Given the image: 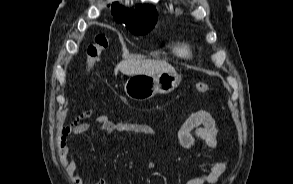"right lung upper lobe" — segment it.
Returning <instances> with one entry per match:
<instances>
[{
    "label": "right lung upper lobe",
    "mask_w": 293,
    "mask_h": 184,
    "mask_svg": "<svg viewBox=\"0 0 293 184\" xmlns=\"http://www.w3.org/2000/svg\"><path fill=\"white\" fill-rule=\"evenodd\" d=\"M114 19L126 26L132 24L151 26L156 23L157 12L153 6L140 5L136 10L123 8L118 2L111 6Z\"/></svg>",
    "instance_id": "1"
}]
</instances>
